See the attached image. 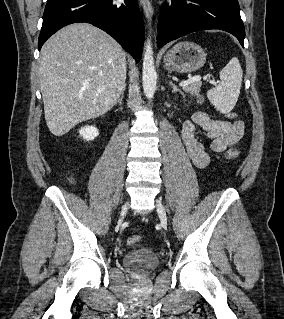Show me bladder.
Listing matches in <instances>:
<instances>
[{
    "instance_id": "bladder-1",
    "label": "bladder",
    "mask_w": 284,
    "mask_h": 319,
    "mask_svg": "<svg viewBox=\"0 0 284 319\" xmlns=\"http://www.w3.org/2000/svg\"><path fill=\"white\" fill-rule=\"evenodd\" d=\"M159 257L151 249L138 248L125 253L122 264L125 269L136 276H146L159 266Z\"/></svg>"
}]
</instances>
